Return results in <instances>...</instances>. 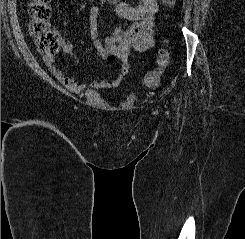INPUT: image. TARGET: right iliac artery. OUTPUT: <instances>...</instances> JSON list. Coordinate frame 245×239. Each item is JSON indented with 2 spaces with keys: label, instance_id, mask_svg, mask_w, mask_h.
<instances>
[{
  "label": "right iliac artery",
  "instance_id": "82829eb1",
  "mask_svg": "<svg viewBox=\"0 0 245 239\" xmlns=\"http://www.w3.org/2000/svg\"><path fill=\"white\" fill-rule=\"evenodd\" d=\"M102 2H101V4H103V1H105V0H101Z\"/></svg>",
  "mask_w": 245,
  "mask_h": 239
}]
</instances>
